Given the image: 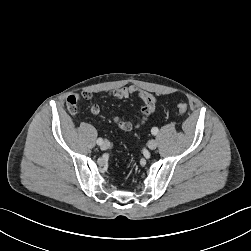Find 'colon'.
I'll return each instance as SVG.
<instances>
[{
	"instance_id": "colon-1",
	"label": "colon",
	"mask_w": 251,
	"mask_h": 251,
	"mask_svg": "<svg viewBox=\"0 0 251 251\" xmlns=\"http://www.w3.org/2000/svg\"><path fill=\"white\" fill-rule=\"evenodd\" d=\"M177 109L180 114H185L188 110V106L185 103H178Z\"/></svg>"
}]
</instances>
